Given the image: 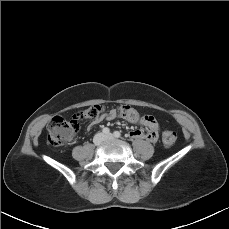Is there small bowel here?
<instances>
[{
  "instance_id": "small-bowel-1",
  "label": "small bowel",
  "mask_w": 229,
  "mask_h": 229,
  "mask_svg": "<svg viewBox=\"0 0 229 229\" xmlns=\"http://www.w3.org/2000/svg\"><path fill=\"white\" fill-rule=\"evenodd\" d=\"M116 116H117L116 110H111L107 113H104L97 120L92 121L89 124L88 130H91L96 123H99L101 121L113 120L116 118ZM141 121L148 128V130L147 131L134 130L130 132V136L132 138H143L151 142H156L158 138V125L156 119L151 115H145L142 117Z\"/></svg>"
}]
</instances>
